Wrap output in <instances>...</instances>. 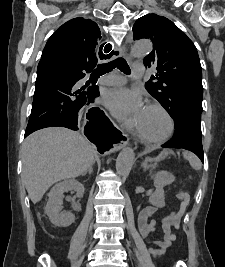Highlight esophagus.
Returning a JSON list of instances; mask_svg holds the SVG:
<instances>
[{
  "label": "esophagus",
  "instance_id": "obj_1",
  "mask_svg": "<svg viewBox=\"0 0 225 267\" xmlns=\"http://www.w3.org/2000/svg\"><path fill=\"white\" fill-rule=\"evenodd\" d=\"M118 56H123V57H126V58L128 57L126 45H122L119 49L115 50V53H114L113 57L116 58ZM128 142H129L128 136L123 134L122 135V140L116 145V149L120 150L121 148L126 146L128 144Z\"/></svg>",
  "mask_w": 225,
  "mask_h": 267
}]
</instances>
